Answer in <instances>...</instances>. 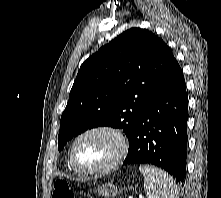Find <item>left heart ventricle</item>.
<instances>
[{
	"mask_svg": "<svg viewBox=\"0 0 221 198\" xmlns=\"http://www.w3.org/2000/svg\"><path fill=\"white\" fill-rule=\"evenodd\" d=\"M118 149L114 137L106 133H95L82 138L75 148L78 165L86 169H96L107 164Z\"/></svg>",
	"mask_w": 221,
	"mask_h": 198,
	"instance_id": "1",
	"label": "left heart ventricle"
}]
</instances>
